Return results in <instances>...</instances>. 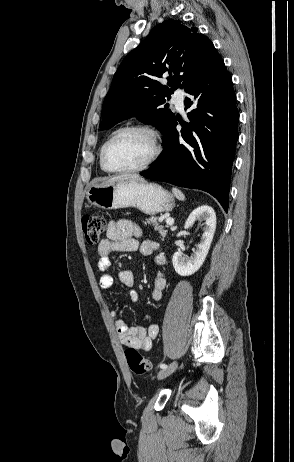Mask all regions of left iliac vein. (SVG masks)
Here are the masks:
<instances>
[{"label":"left iliac vein","mask_w":294,"mask_h":462,"mask_svg":"<svg viewBox=\"0 0 294 462\" xmlns=\"http://www.w3.org/2000/svg\"><path fill=\"white\" fill-rule=\"evenodd\" d=\"M177 365L178 363L175 361L172 364H170L168 368L160 370V372L158 373V379H163L172 374L176 370Z\"/></svg>","instance_id":"obj_1"}]
</instances>
